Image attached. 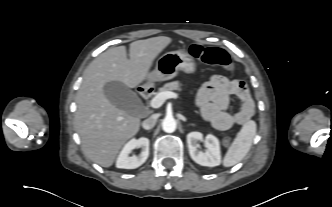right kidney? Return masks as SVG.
<instances>
[{
	"instance_id": "obj_1",
	"label": "right kidney",
	"mask_w": 332,
	"mask_h": 207,
	"mask_svg": "<svg viewBox=\"0 0 332 207\" xmlns=\"http://www.w3.org/2000/svg\"><path fill=\"white\" fill-rule=\"evenodd\" d=\"M149 139L141 137L139 139H131L120 152L116 167L123 169H135L141 166L149 156ZM135 148H141L142 151L138 156H129Z\"/></svg>"
}]
</instances>
